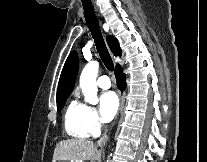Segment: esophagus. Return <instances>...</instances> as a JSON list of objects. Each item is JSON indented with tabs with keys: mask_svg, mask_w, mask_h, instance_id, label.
<instances>
[{
	"mask_svg": "<svg viewBox=\"0 0 207 162\" xmlns=\"http://www.w3.org/2000/svg\"><path fill=\"white\" fill-rule=\"evenodd\" d=\"M122 106H123V99H121V106H120L119 111L122 109ZM118 113H119V112H118Z\"/></svg>",
	"mask_w": 207,
	"mask_h": 162,
	"instance_id": "obj_1",
	"label": "esophagus"
}]
</instances>
